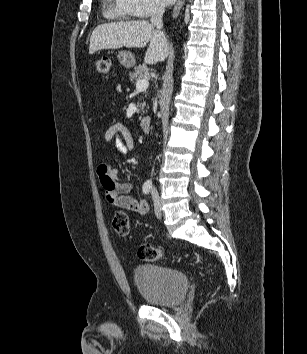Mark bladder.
I'll return each instance as SVG.
<instances>
[{
  "mask_svg": "<svg viewBox=\"0 0 307 354\" xmlns=\"http://www.w3.org/2000/svg\"><path fill=\"white\" fill-rule=\"evenodd\" d=\"M133 278L144 300L152 305H177L188 289V278L183 272L158 264L138 265Z\"/></svg>",
  "mask_w": 307,
  "mask_h": 354,
  "instance_id": "31cf9c89",
  "label": "bladder"
}]
</instances>
